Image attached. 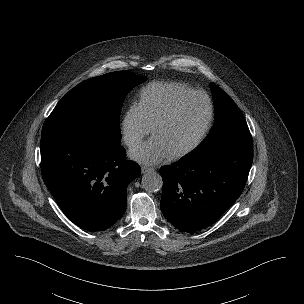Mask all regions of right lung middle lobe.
Masks as SVG:
<instances>
[{"label": "right lung middle lobe", "instance_id": "right-lung-middle-lobe-1", "mask_svg": "<svg viewBox=\"0 0 304 304\" xmlns=\"http://www.w3.org/2000/svg\"><path fill=\"white\" fill-rule=\"evenodd\" d=\"M147 78L129 71L108 73L83 81L56 105L42 128V138L79 132L120 145V110L129 91Z\"/></svg>", "mask_w": 304, "mask_h": 304}]
</instances>
